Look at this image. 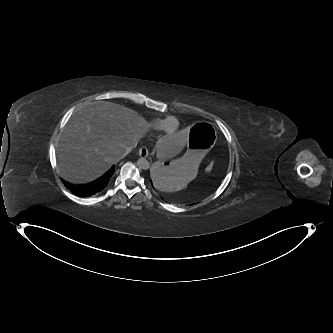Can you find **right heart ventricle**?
<instances>
[{"mask_svg":"<svg viewBox=\"0 0 333 333\" xmlns=\"http://www.w3.org/2000/svg\"><path fill=\"white\" fill-rule=\"evenodd\" d=\"M168 117L170 116H167L165 118H154L149 121L148 126L154 131H160L163 128L164 122ZM174 121L176 123V127L179 128L180 125L179 120L174 117Z\"/></svg>","mask_w":333,"mask_h":333,"instance_id":"right-heart-ventricle-1","label":"right heart ventricle"}]
</instances>
